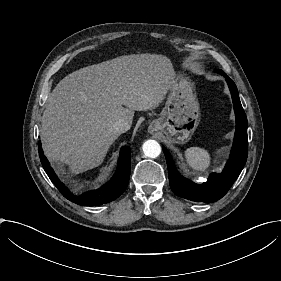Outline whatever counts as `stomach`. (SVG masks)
<instances>
[{
	"label": "stomach",
	"mask_w": 281,
	"mask_h": 281,
	"mask_svg": "<svg viewBox=\"0 0 281 281\" xmlns=\"http://www.w3.org/2000/svg\"><path fill=\"white\" fill-rule=\"evenodd\" d=\"M160 118L149 127L151 133L163 134V140L173 144L187 143L201 120L200 103L194 80L185 73L174 77Z\"/></svg>",
	"instance_id": "1"
}]
</instances>
